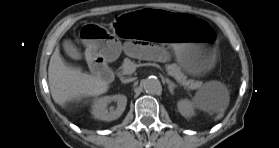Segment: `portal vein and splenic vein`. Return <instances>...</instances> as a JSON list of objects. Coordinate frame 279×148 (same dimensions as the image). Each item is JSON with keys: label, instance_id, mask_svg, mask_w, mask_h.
I'll list each match as a JSON object with an SVG mask.
<instances>
[{"label": "portal vein and splenic vein", "instance_id": "obj_1", "mask_svg": "<svg viewBox=\"0 0 279 148\" xmlns=\"http://www.w3.org/2000/svg\"><path fill=\"white\" fill-rule=\"evenodd\" d=\"M156 66L159 67L158 65H156ZM136 67H137V65H133L130 69V73H133L135 71ZM179 83H181L183 86L188 87L190 89H197L200 87L199 83H189V82H179Z\"/></svg>", "mask_w": 279, "mask_h": 148}]
</instances>
